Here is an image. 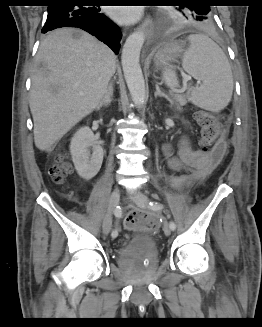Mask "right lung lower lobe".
<instances>
[{
	"instance_id": "1",
	"label": "right lung lower lobe",
	"mask_w": 262,
	"mask_h": 327,
	"mask_svg": "<svg viewBox=\"0 0 262 327\" xmlns=\"http://www.w3.org/2000/svg\"><path fill=\"white\" fill-rule=\"evenodd\" d=\"M42 33L61 27L83 29L108 45L118 54L122 33L100 11V6H82L78 0H53ZM77 5V6H76Z\"/></svg>"
}]
</instances>
